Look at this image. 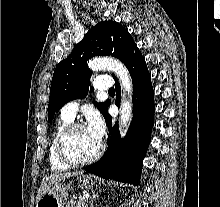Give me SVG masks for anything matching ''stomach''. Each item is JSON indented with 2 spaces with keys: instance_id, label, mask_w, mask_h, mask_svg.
I'll return each instance as SVG.
<instances>
[{
  "instance_id": "1",
  "label": "stomach",
  "mask_w": 220,
  "mask_h": 207,
  "mask_svg": "<svg viewBox=\"0 0 220 207\" xmlns=\"http://www.w3.org/2000/svg\"><path fill=\"white\" fill-rule=\"evenodd\" d=\"M79 183L83 188L90 189L94 185V180L90 176H82ZM67 196L66 187L61 183H56L42 195L36 207H64L63 202Z\"/></svg>"
}]
</instances>
